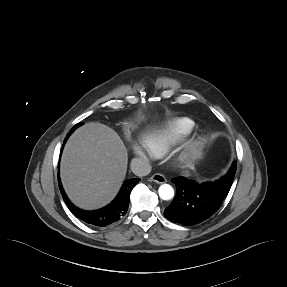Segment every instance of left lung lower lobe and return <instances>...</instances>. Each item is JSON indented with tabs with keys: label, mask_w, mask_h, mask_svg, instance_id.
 Instances as JSON below:
<instances>
[{
	"label": "left lung lower lobe",
	"mask_w": 287,
	"mask_h": 287,
	"mask_svg": "<svg viewBox=\"0 0 287 287\" xmlns=\"http://www.w3.org/2000/svg\"><path fill=\"white\" fill-rule=\"evenodd\" d=\"M236 172L234 161L229 172L215 182L197 183L184 177L171 181L177 187L172 203L164 215L172 222L183 225L198 224L214 214L226 198Z\"/></svg>",
	"instance_id": "obj_1"
}]
</instances>
